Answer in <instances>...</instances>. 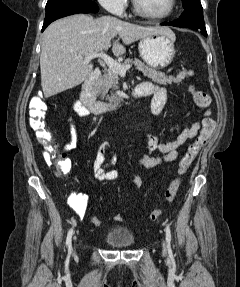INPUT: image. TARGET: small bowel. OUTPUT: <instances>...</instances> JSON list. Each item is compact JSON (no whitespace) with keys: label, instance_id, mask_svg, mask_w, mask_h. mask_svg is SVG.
<instances>
[{"label":"small bowel","instance_id":"small-bowel-1","mask_svg":"<svg viewBox=\"0 0 240 287\" xmlns=\"http://www.w3.org/2000/svg\"><path fill=\"white\" fill-rule=\"evenodd\" d=\"M138 89L142 96L152 97L151 110L153 114H161L167 101L166 90L152 82H143L138 85ZM73 108L80 116L89 115V110L80 100H75L73 102ZM210 114L211 111L207 110L204 115L207 117ZM67 120L70 123L71 138L64 146L65 152L75 149L78 142L75 123L71 118H68ZM199 128V122L193 123L185 127L174 140L167 142H159L155 136L149 135L146 139V152L140 159L139 165L144 169L150 170L163 163L176 161L179 157V148L193 139L197 135ZM152 152H158L159 154L151 155ZM62 156L65 157L64 154ZM44 158L47 162L51 160V156L48 151H44ZM115 162L116 156L111 145L108 143L103 144L92 165L94 177L100 181L118 179L119 172L111 168ZM131 181L135 186L139 187L143 183V178L138 175L133 177ZM69 205L79 217H83L87 210L88 196L85 194H74L69 198Z\"/></svg>","mask_w":240,"mask_h":287}]
</instances>
